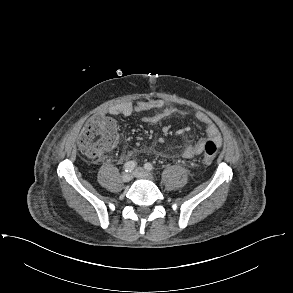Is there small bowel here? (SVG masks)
I'll list each match as a JSON object with an SVG mask.
<instances>
[{
    "label": "small bowel",
    "mask_w": 293,
    "mask_h": 293,
    "mask_svg": "<svg viewBox=\"0 0 293 293\" xmlns=\"http://www.w3.org/2000/svg\"><path fill=\"white\" fill-rule=\"evenodd\" d=\"M137 111L155 112L152 116L145 118V122L148 124H157L174 113H179L182 115L187 114V111L185 110H177L174 107L167 106L164 103L155 100L124 102L120 104H115L109 107L106 113L114 116L126 117L130 116L131 114ZM196 119L200 124H202L205 127L206 137L199 139L194 144L186 146L182 151V156L184 158L189 159L201 154L205 150L206 143L210 140L214 141L218 146L222 144V137L219 132V129L208 115L204 113H198L196 115ZM130 155L131 154L128 153L125 155V157H128Z\"/></svg>",
    "instance_id": "c3829d8e"
}]
</instances>
